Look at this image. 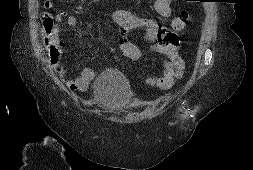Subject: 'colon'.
<instances>
[{
  "label": "colon",
  "mask_w": 253,
  "mask_h": 170,
  "mask_svg": "<svg viewBox=\"0 0 253 170\" xmlns=\"http://www.w3.org/2000/svg\"><path fill=\"white\" fill-rule=\"evenodd\" d=\"M188 14L185 10L180 13L181 21H186ZM182 23H176V27H182ZM42 27L45 33L50 34L54 28L53 17L49 13L42 15ZM47 50L52 62L56 63L62 55V48L58 40L47 38Z\"/></svg>",
  "instance_id": "obj_1"
}]
</instances>
